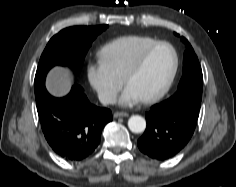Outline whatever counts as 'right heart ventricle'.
Returning a JSON list of instances; mask_svg holds the SVG:
<instances>
[{"label":"right heart ventricle","mask_w":236,"mask_h":187,"mask_svg":"<svg viewBox=\"0 0 236 187\" xmlns=\"http://www.w3.org/2000/svg\"><path fill=\"white\" fill-rule=\"evenodd\" d=\"M158 40L144 35H128L105 44L97 54L99 63L123 80L139 54Z\"/></svg>","instance_id":"right-heart-ventricle-1"}]
</instances>
